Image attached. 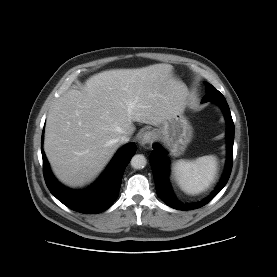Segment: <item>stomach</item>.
<instances>
[{
	"instance_id": "0dacf381",
	"label": "stomach",
	"mask_w": 277,
	"mask_h": 277,
	"mask_svg": "<svg viewBox=\"0 0 277 277\" xmlns=\"http://www.w3.org/2000/svg\"><path fill=\"white\" fill-rule=\"evenodd\" d=\"M183 110L171 113L152 134L161 140L171 155H181L192 138V127L183 115Z\"/></svg>"
}]
</instances>
